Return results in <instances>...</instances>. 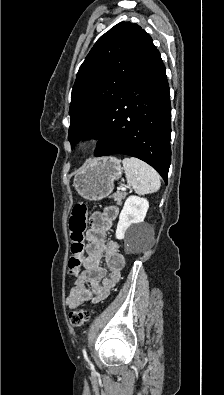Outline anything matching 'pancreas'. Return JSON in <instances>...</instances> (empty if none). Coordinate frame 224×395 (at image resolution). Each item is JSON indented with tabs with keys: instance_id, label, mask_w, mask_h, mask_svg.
Here are the masks:
<instances>
[{
	"instance_id": "obj_1",
	"label": "pancreas",
	"mask_w": 224,
	"mask_h": 395,
	"mask_svg": "<svg viewBox=\"0 0 224 395\" xmlns=\"http://www.w3.org/2000/svg\"><path fill=\"white\" fill-rule=\"evenodd\" d=\"M126 195H127L126 193L116 192V193L113 195V198H114V200L116 201V203H117L118 205H120L122 199H124V198L126 197Z\"/></svg>"
}]
</instances>
